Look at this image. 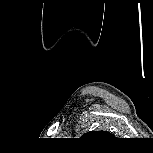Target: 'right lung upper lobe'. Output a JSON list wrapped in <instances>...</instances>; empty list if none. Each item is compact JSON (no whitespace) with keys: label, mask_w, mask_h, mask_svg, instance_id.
I'll return each mask as SVG.
<instances>
[{"label":"right lung upper lobe","mask_w":153,"mask_h":153,"mask_svg":"<svg viewBox=\"0 0 153 153\" xmlns=\"http://www.w3.org/2000/svg\"><path fill=\"white\" fill-rule=\"evenodd\" d=\"M111 136L108 132L105 131H91L82 136L83 137H99V136Z\"/></svg>","instance_id":"cb5924a9"}]
</instances>
